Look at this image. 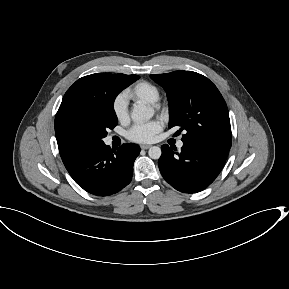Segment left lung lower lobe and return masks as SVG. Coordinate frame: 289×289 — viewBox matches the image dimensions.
<instances>
[{"label": "left lung lower lobe", "instance_id": "0a47b994", "mask_svg": "<svg viewBox=\"0 0 289 289\" xmlns=\"http://www.w3.org/2000/svg\"><path fill=\"white\" fill-rule=\"evenodd\" d=\"M229 148L195 141H183L175 147L162 146L159 169L163 178L175 189L196 193L209 186L222 170Z\"/></svg>", "mask_w": 289, "mask_h": 289}]
</instances>
